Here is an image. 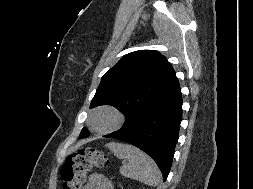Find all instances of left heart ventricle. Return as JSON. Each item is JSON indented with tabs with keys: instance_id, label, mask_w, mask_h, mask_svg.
Listing matches in <instances>:
<instances>
[{
	"instance_id": "1",
	"label": "left heart ventricle",
	"mask_w": 253,
	"mask_h": 189,
	"mask_svg": "<svg viewBox=\"0 0 253 189\" xmlns=\"http://www.w3.org/2000/svg\"><path fill=\"white\" fill-rule=\"evenodd\" d=\"M112 118L107 113H102L99 116H97L95 120V126L97 128H106L111 124Z\"/></svg>"
}]
</instances>
